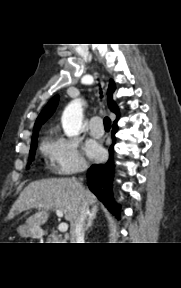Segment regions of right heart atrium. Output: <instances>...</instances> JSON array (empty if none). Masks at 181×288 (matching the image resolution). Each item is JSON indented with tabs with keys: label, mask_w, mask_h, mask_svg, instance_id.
<instances>
[{
	"label": "right heart atrium",
	"mask_w": 181,
	"mask_h": 288,
	"mask_svg": "<svg viewBox=\"0 0 181 288\" xmlns=\"http://www.w3.org/2000/svg\"><path fill=\"white\" fill-rule=\"evenodd\" d=\"M44 154L51 169L61 175L80 172L87 167L79 151L78 142L62 134H55L44 143Z\"/></svg>",
	"instance_id": "1"
}]
</instances>
